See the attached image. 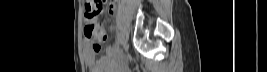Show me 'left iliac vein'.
<instances>
[{
    "instance_id": "left-iliac-vein-1",
    "label": "left iliac vein",
    "mask_w": 267,
    "mask_h": 72,
    "mask_svg": "<svg viewBox=\"0 0 267 72\" xmlns=\"http://www.w3.org/2000/svg\"><path fill=\"white\" fill-rule=\"evenodd\" d=\"M127 50H128V43H127V41L125 40V41L123 42V55H122V60H123V61H126V59H127Z\"/></svg>"
}]
</instances>
